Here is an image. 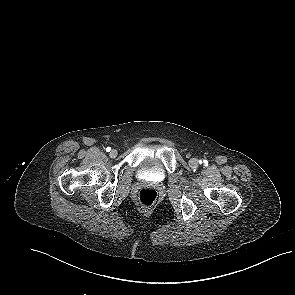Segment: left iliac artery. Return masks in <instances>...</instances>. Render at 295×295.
Listing matches in <instances>:
<instances>
[{
    "instance_id": "44dca946",
    "label": "left iliac artery",
    "mask_w": 295,
    "mask_h": 295,
    "mask_svg": "<svg viewBox=\"0 0 295 295\" xmlns=\"http://www.w3.org/2000/svg\"><path fill=\"white\" fill-rule=\"evenodd\" d=\"M200 163H202V161H200ZM203 163L206 165L207 164V161L206 160H203Z\"/></svg>"
}]
</instances>
